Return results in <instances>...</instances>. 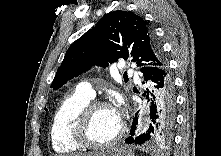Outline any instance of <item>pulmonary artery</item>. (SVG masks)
I'll return each instance as SVG.
<instances>
[{"instance_id": "e3ab8cb5", "label": "pulmonary artery", "mask_w": 221, "mask_h": 156, "mask_svg": "<svg viewBox=\"0 0 221 156\" xmlns=\"http://www.w3.org/2000/svg\"><path fill=\"white\" fill-rule=\"evenodd\" d=\"M128 72L131 73L132 69H128ZM77 90L81 93L87 95L90 98H93L95 95L94 89L89 82H82L78 85Z\"/></svg>"}]
</instances>
